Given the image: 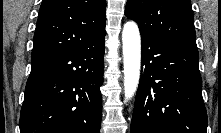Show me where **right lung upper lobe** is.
Segmentation results:
<instances>
[{"mask_svg": "<svg viewBox=\"0 0 221 133\" xmlns=\"http://www.w3.org/2000/svg\"><path fill=\"white\" fill-rule=\"evenodd\" d=\"M106 0H43L32 57L77 49L105 32Z\"/></svg>", "mask_w": 221, "mask_h": 133, "instance_id": "cb5924a9", "label": "right lung upper lobe"}]
</instances>
